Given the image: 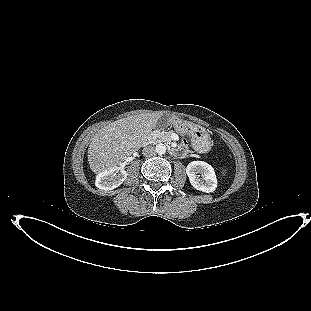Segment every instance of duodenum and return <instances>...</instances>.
Masks as SVG:
<instances>
[{
	"mask_svg": "<svg viewBox=\"0 0 311 311\" xmlns=\"http://www.w3.org/2000/svg\"><path fill=\"white\" fill-rule=\"evenodd\" d=\"M171 152L173 153V154H177L178 153V151L176 150V149H171Z\"/></svg>",
	"mask_w": 311,
	"mask_h": 311,
	"instance_id": "duodenum-1",
	"label": "duodenum"
}]
</instances>
